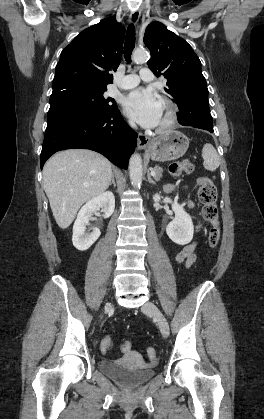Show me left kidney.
<instances>
[{"mask_svg":"<svg viewBox=\"0 0 264 419\" xmlns=\"http://www.w3.org/2000/svg\"><path fill=\"white\" fill-rule=\"evenodd\" d=\"M160 195L155 194L153 199L159 202ZM165 203H172V209L175 212V218L166 227L168 237L176 244L186 245L191 242L194 234L192 219L184 208L177 202H172L168 197L164 198Z\"/></svg>","mask_w":264,"mask_h":419,"instance_id":"1","label":"left kidney"}]
</instances>
